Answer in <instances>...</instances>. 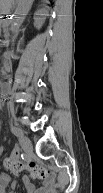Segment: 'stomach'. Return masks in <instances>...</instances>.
<instances>
[{"instance_id": "0dacf381", "label": "stomach", "mask_w": 103, "mask_h": 193, "mask_svg": "<svg viewBox=\"0 0 103 193\" xmlns=\"http://www.w3.org/2000/svg\"><path fill=\"white\" fill-rule=\"evenodd\" d=\"M10 2H11V5L14 4V0H10Z\"/></svg>"}]
</instances>
